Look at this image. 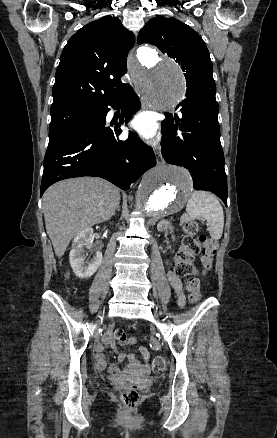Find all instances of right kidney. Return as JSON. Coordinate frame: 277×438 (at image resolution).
Segmentation results:
<instances>
[{
    "label": "right kidney",
    "instance_id": "right-kidney-1",
    "mask_svg": "<svg viewBox=\"0 0 277 438\" xmlns=\"http://www.w3.org/2000/svg\"><path fill=\"white\" fill-rule=\"evenodd\" d=\"M93 230L92 228H85L77 234L72 242V250L69 254L70 266L77 278H91L97 272L100 264H102L103 256L101 252H96L91 260H86L84 248L88 244H92Z\"/></svg>",
    "mask_w": 277,
    "mask_h": 438
}]
</instances>
